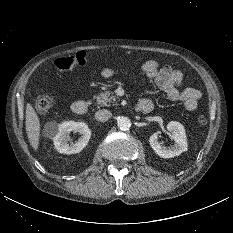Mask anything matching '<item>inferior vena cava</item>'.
<instances>
[{"instance_id": "1", "label": "inferior vena cava", "mask_w": 233, "mask_h": 233, "mask_svg": "<svg viewBox=\"0 0 233 233\" xmlns=\"http://www.w3.org/2000/svg\"><path fill=\"white\" fill-rule=\"evenodd\" d=\"M112 117V113L109 110H99L95 113L96 120L100 122H106Z\"/></svg>"}]
</instances>
